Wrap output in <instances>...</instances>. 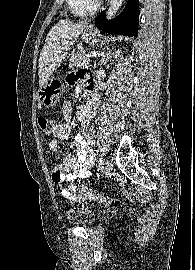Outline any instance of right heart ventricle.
<instances>
[{
	"label": "right heart ventricle",
	"instance_id": "e07e8e85",
	"mask_svg": "<svg viewBox=\"0 0 195 270\" xmlns=\"http://www.w3.org/2000/svg\"><path fill=\"white\" fill-rule=\"evenodd\" d=\"M70 12L75 16H88L96 10L95 0H67Z\"/></svg>",
	"mask_w": 195,
	"mask_h": 270
}]
</instances>
